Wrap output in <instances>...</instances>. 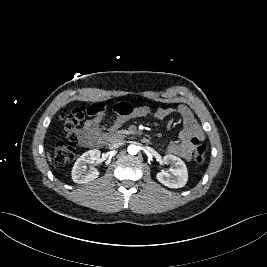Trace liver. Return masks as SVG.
Instances as JSON below:
<instances>
[{
    "label": "liver",
    "mask_w": 267,
    "mask_h": 267,
    "mask_svg": "<svg viewBox=\"0 0 267 267\" xmlns=\"http://www.w3.org/2000/svg\"><path fill=\"white\" fill-rule=\"evenodd\" d=\"M47 158L49 160V162H51V156H50V153L47 152Z\"/></svg>",
    "instance_id": "liver-1"
}]
</instances>
